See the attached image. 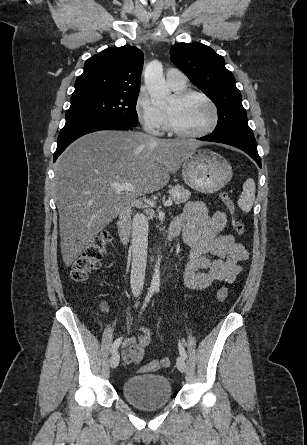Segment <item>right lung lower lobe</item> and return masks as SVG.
<instances>
[{
    "instance_id": "98d812e1",
    "label": "right lung lower lobe",
    "mask_w": 307,
    "mask_h": 445,
    "mask_svg": "<svg viewBox=\"0 0 307 445\" xmlns=\"http://www.w3.org/2000/svg\"><path fill=\"white\" fill-rule=\"evenodd\" d=\"M132 127L134 126L128 123L108 118H82L66 121L58 137L53 161H56L69 144L85 134L99 130H128Z\"/></svg>"
}]
</instances>
